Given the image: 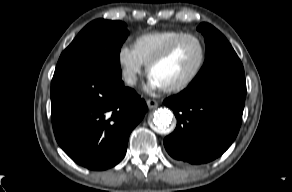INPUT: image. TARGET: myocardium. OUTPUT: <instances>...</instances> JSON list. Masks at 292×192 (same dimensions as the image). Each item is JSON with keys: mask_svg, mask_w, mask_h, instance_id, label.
<instances>
[{"mask_svg": "<svg viewBox=\"0 0 292 192\" xmlns=\"http://www.w3.org/2000/svg\"><path fill=\"white\" fill-rule=\"evenodd\" d=\"M186 39H193L198 43V45L200 47V52H201L199 63L197 65V67L195 68V70L192 72V74L189 77H187L185 80H183L177 84H174L172 86L163 87V90L165 92H169V93L180 92V91L188 88L200 76V74L202 73V71L205 67L206 60H207V48H206L205 41L198 34L184 33V34L178 36L177 38H175L173 41H171L160 53L155 55L146 64L147 74L148 75L150 74L151 69L155 65H157V64L163 62L164 60H166L167 58H169L172 55V53L175 51V49L178 47V45Z\"/></svg>", "mask_w": 292, "mask_h": 192, "instance_id": "obj_1", "label": "myocardium"}]
</instances>
